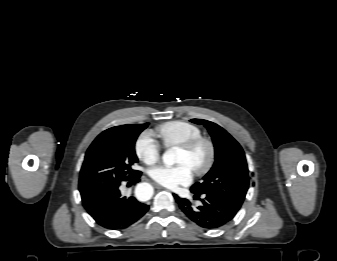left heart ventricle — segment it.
Here are the masks:
<instances>
[{
  "label": "left heart ventricle",
  "mask_w": 337,
  "mask_h": 261,
  "mask_svg": "<svg viewBox=\"0 0 337 261\" xmlns=\"http://www.w3.org/2000/svg\"><path fill=\"white\" fill-rule=\"evenodd\" d=\"M208 157V149L205 145L198 147L195 151L189 153L183 149H179L177 163L186 164L191 169L202 166Z\"/></svg>",
  "instance_id": "b2bd125f"
}]
</instances>
